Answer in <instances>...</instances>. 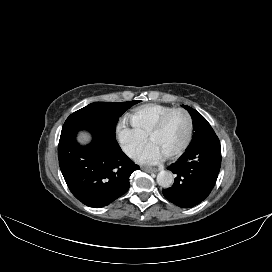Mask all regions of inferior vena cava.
Wrapping results in <instances>:
<instances>
[{
	"instance_id": "602c4592",
	"label": "inferior vena cava",
	"mask_w": 272,
	"mask_h": 272,
	"mask_svg": "<svg viewBox=\"0 0 272 272\" xmlns=\"http://www.w3.org/2000/svg\"><path fill=\"white\" fill-rule=\"evenodd\" d=\"M124 152L129 156V157H133L135 156L136 153V149L132 146H126L124 147Z\"/></svg>"
}]
</instances>
